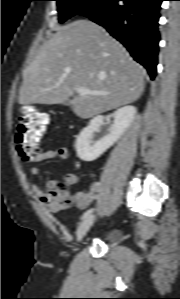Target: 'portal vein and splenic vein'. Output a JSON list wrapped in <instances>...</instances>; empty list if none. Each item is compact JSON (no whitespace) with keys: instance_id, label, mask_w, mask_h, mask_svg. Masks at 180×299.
Instances as JSON below:
<instances>
[{"instance_id":"portal-vein-and-splenic-vein-1","label":"portal vein and splenic vein","mask_w":180,"mask_h":299,"mask_svg":"<svg viewBox=\"0 0 180 299\" xmlns=\"http://www.w3.org/2000/svg\"><path fill=\"white\" fill-rule=\"evenodd\" d=\"M76 92L81 95V96H84V95H106V94H109L108 92H99V91H91L85 87H79L76 89Z\"/></svg>"}]
</instances>
